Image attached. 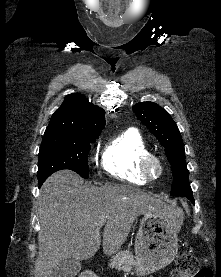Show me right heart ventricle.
Here are the masks:
<instances>
[{
	"instance_id": "1",
	"label": "right heart ventricle",
	"mask_w": 221,
	"mask_h": 277,
	"mask_svg": "<svg viewBox=\"0 0 221 277\" xmlns=\"http://www.w3.org/2000/svg\"><path fill=\"white\" fill-rule=\"evenodd\" d=\"M149 148L141 133L128 129L108 142L102 155V166L112 177L133 183L144 184L139 163L147 155Z\"/></svg>"
}]
</instances>
